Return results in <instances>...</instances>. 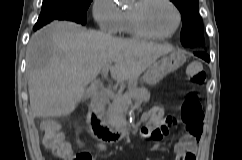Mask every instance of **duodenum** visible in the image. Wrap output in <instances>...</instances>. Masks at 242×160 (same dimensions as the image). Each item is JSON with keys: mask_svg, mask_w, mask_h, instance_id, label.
I'll use <instances>...</instances> for the list:
<instances>
[{"mask_svg": "<svg viewBox=\"0 0 242 160\" xmlns=\"http://www.w3.org/2000/svg\"><path fill=\"white\" fill-rule=\"evenodd\" d=\"M103 101L95 98L88 106L87 117L94 137L104 143H114L126 137L135 126H124L120 129H112L102 119Z\"/></svg>", "mask_w": 242, "mask_h": 160, "instance_id": "1", "label": "duodenum"}]
</instances>
